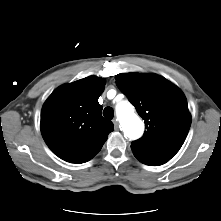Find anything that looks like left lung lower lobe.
I'll use <instances>...</instances> for the list:
<instances>
[{
  "label": "left lung lower lobe",
  "mask_w": 221,
  "mask_h": 221,
  "mask_svg": "<svg viewBox=\"0 0 221 221\" xmlns=\"http://www.w3.org/2000/svg\"><path fill=\"white\" fill-rule=\"evenodd\" d=\"M134 154V156L139 160V161H141L142 163H144V164H146V165H151V164H149V163H147V162H144L141 158H140V156L138 155V154H136V153H133Z\"/></svg>",
  "instance_id": "1"
}]
</instances>
